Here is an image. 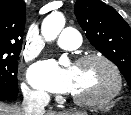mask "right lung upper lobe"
<instances>
[{
    "label": "right lung upper lobe",
    "instance_id": "cb5924a9",
    "mask_svg": "<svg viewBox=\"0 0 131 115\" xmlns=\"http://www.w3.org/2000/svg\"><path fill=\"white\" fill-rule=\"evenodd\" d=\"M25 12L23 0H0V54L21 51Z\"/></svg>",
    "mask_w": 131,
    "mask_h": 115
}]
</instances>
